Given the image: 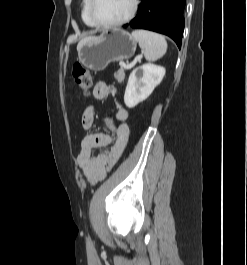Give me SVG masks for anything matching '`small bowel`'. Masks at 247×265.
Listing matches in <instances>:
<instances>
[{
	"instance_id": "obj_1",
	"label": "small bowel",
	"mask_w": 247,
	"mask_h": 265,
	"mask_svg": "<svg viewBox=\"0 0 247 265\" xmlns=\"http://www.w3.org/2000/svg\"><path fill=\"white\" fill-rule=\"evenodd\" d=\"M110 93H115L114 87L110 84L99 81L94 85L93 96L102 100ZM116 119L119 122L117 132L114 136H109L105 133H90L87 134L80 146V152L77 157V165L86 177V179L94 184L105 178L106 174L113 168L120 156L122 155L129 138V126L127 119L129 111L122 104H116ZM95 117L94 105H89L85 108L81 118L83 129L89 130ZM108 149L95 153L98 148Z\"/></svg>"
}]
</instances>
